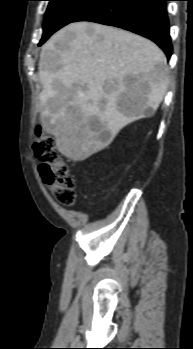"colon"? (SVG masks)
<instances>
[{"instance_id":"5ec220e1","label":"colon","mask_w":193,"mask_h":349,"mask_svg":"<svg viewBox=\"0 0 193 349\" xmlns=\"http://www.w3.org/2000/svg\"><path fill=\"white\" fill-rule=\"evenodd\" d=\"M33 150L40 160L41 177L56 200L66 206L72 205L75 201L74 178L70 166L56 150L54 137L37 130Z\"/></svg>"}]
</instances>
